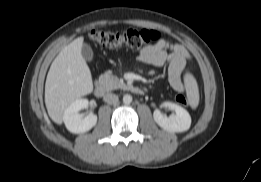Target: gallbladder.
Listing matches in <instances>:
<instances>
[{
  "instance_id": "gallbladder-1",
  "label": "gallbladder",
  "mask_w": 261,
  "mask_h": 182,
  "mask_svg": "<svg viewBox=\"0 0 261 182\" xmlns=\"http://www.w3.org/2000/svg\"><path fill=\"white\" fill-rule=\"evenodd\" d=\"M82 56L87 62H91L93 59V50L90 45L84 44L82 46Z\"/></svg>"
}]
</instances>
